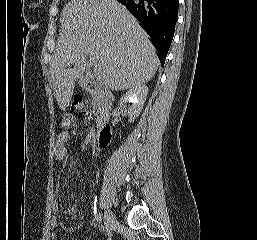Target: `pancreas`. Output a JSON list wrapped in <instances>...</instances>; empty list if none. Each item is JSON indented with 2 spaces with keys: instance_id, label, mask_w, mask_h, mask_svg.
Segmentation results:
<instances>
[{
  "instance_id": "obj_1",
  "label": "pancreas",
  "mask_w": 257,
  "mask_h": 240,
  "mask_svg": "<svg viewBox=\"0 0 257 240\" xmlns=\"http://www.w3.org/2000/svg\"><path fill=\"white\" fill-rule=\"evenodd\" d=\"M93 110L96 112L97 121L99 120V115L107 114L109 110V104L100 91H91Z\"/></svg>"
}]
</instances>
